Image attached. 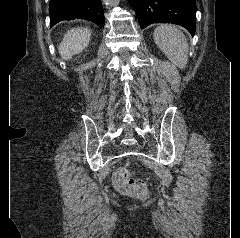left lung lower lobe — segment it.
Instances as JSON below:
<instances>
[{
	"mask_svg": "<svg viewBox=\"0 0 240 238\" xmlns=\"http://www.w3.org/2000/svg\"><path fill=\"white\" fill-rule=\"evenodd\" d=\"M141 28L152 23L168 22L183 26L192 36L196 31L195 0H128Z\"/></svg>",
	"mask_w": 240,
	"mask_h": 238,
	"instance_id": "0a47b994",
	"label": "left lung lower lobe"
}]
</instances>
